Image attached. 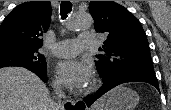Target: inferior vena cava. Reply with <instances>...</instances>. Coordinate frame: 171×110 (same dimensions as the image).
Here are the masks:
<instances>
[{"mask_svg":"<svg viewBox=\"0 0 171 110\" xmlns=\"http://www.w3.org/2000/svg\"><path fill=\"white\" fill-rule=\"evenodd\" d=\"M53 89H54V92L57 95V99H58V102H55L53 109L54 110H60V108L62 106L61 101L64 98V93H63V90H62V86L59 83H54L53 84Z\"/></svg>","mask_w":171,"mask_h":110,"instance_id":"602c4592","label":"inferior vena cava"}]
</instances>
